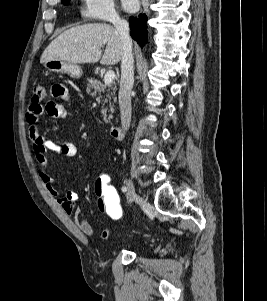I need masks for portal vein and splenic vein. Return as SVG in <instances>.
Segmentation results:
<instances>
[{"instance_id":"obj_1","label":"portal vein and splenic vein","mask_w":267,"mask_h":301,"mask_svg":"<svg viewBox=\"0 0 267 301\" xmlns=\"http://www.w3.org/2000/svg\"><path fill=\"white\" fill-rule=\"evenodd\" d=\"M115 78V73L112 70H108L105 75H104V83L105 84H110L113 82Z\"/></svg>"}]
</instances>
